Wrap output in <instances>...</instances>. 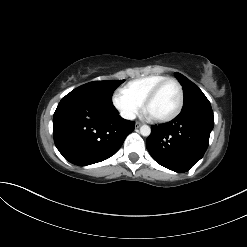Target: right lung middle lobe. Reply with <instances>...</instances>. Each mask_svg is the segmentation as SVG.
Returning a JSON list of instances; mask_svg holds the SVG:
<instances>
[{"mask_svg": "<svg viewBox=\"0 0 247 247\" xmlns=\"http://www.w3.org/2000/svg\"><path fill=\"white\" fill-rule=\"evenodd\" d=\"M125 80L93 81L72 90L66 96H75L89 101L112 104L114 90Z\"/></svg>", "mask_w": 247, "mask_h": 247, "instance_id": "1", "label": "right lung middle lobe"}]
</instances>
